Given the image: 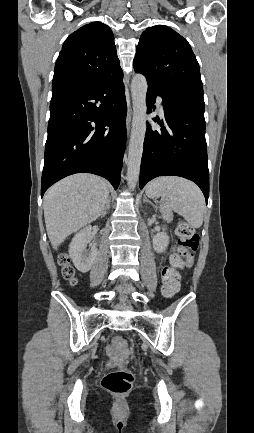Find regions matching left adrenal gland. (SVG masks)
Masks as SVG:
<instances>
[{
  "label": "left adrenal gland",
  "mask_w": 254,
  "mask_h": 433,
  "mask_svg": "<svg viewBox=\"0 0 254 433\" xmlns=\"http://www.w3.org/2000/svg\"><path fill=\"white\" fill-rule=\"evenodd\" d=\"M143 201H144V202H149L152 206H154L153 203H152V202L147 198L146 195H144V199H143Z\"/></svg>",
  "instance_id": "obj_1"
}]
</instances>
